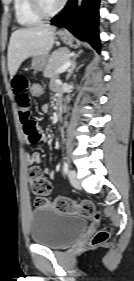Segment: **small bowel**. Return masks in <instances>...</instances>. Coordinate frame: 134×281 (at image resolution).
<instances>
[{
    "instance_id": "c3829d8e",
    "label": "small bowel",
    "mask_w": 134,
    "mask_h": 281,
    "mask_svg": "<svg viewBox=\"0 0 134 281\" xmlns=\"http://www.w3.org/2000/svg\"><path fill=\"white\" fill-rule=\"evenodd\" d=\"M58 81H52V88L58 89ZM11 88L19 106V120L22 124L23 132L29 143L44 142L45 136L38 124L30 118L31 95L29 92L30 80L21 73L15 74L11 79ZM27 164L32 167L41 162L40 155L37 152L26 155ZM44 174L49 178H54L53 170L45 168Z\"/></svg>"
}]
</instances>
